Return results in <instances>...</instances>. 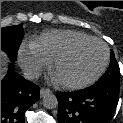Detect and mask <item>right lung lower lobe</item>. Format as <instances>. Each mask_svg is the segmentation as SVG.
I'll list each match as a JSON object with an SVG mask.
<instances>
[{"label": "right lung lower lobe", "mask_w": 123, "mask_h": 123, "mask_svg": "<svg viewBox=\"0 0 123 123\" xmlns=\"http://www.w3.org/2000/svg\"><path fill=\"white\" fill-rule=\"evenodd\" d=\"M40 88L13 71L1 81V123H25L24 114L39 100Z\"/></svg>", "instance_id": "right-lung-lower-lobe-1"}]
</instances>
